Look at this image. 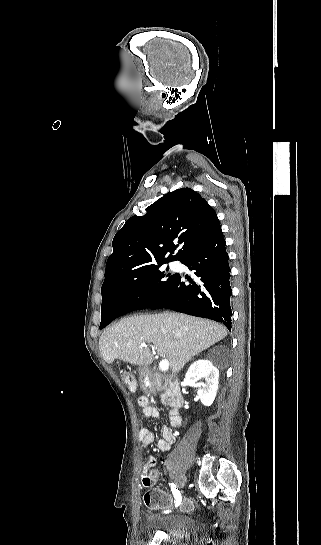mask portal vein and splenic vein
Wrapping results in <instances>:
<instances>
[{
    "label": "portal vein and splenic vein",
    "instance_id": "portal-vein-and-splenic-vein-1",
    "mask_svg": "<svg viewBox=\"0 0 321 545\" xmlns=\"http://www.w3.org/2000/svg\"><path fill=\"white\" fill-rule=\"evenodd\" d=\"M141 349H143V347H148V345H146V343H141L140 345ZM153 353H155V349H152ZM159 369L160 371H168L169 369V363L167 361V359H163V361H161V363H159Z\"/></svg>",
    "mask_w": 321,
    "mask_h": 545
}]
</instances>
